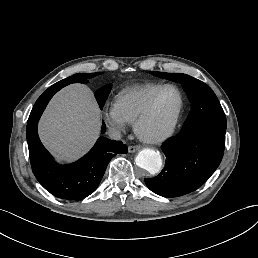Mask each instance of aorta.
Listing matches in <instances>:
<instances>
[{
  "instance_id": "1",
  "label": "aorta",
  "mask_w": 258,
  "mask_h": 258,
  "mask_svg": "<svg viewBox=\"0 0 258 258\" xmlns=\"http://www.w3.org/2000/svg\"><path fill=\"white\" fill-rule=\"evenodd\" d=\"M161 155L153 149H143L136 157V164L151 174H156L162 167Z\"/></svg>"
}]
</instances>
